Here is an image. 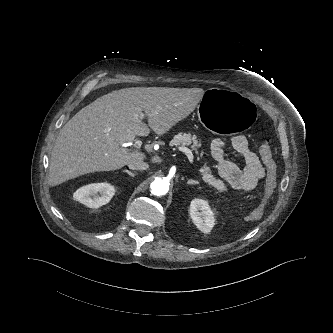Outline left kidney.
<instances>
[{"mask_svg": "<svg viewBox=\"0 0 333 333\" xmlns=\"http://www.w3.org/2000/svg\"><path fill=\"white\" fill-rule=\"evenodd\" d=\"M190 217L196 227L203 233L211 232L215 218L208 202L203 199H193L190 204Z\"/></svg>", "mask_w": 333, "mask_h": 333, "instance_id": "1", "label": "left kidney"}]
</instances>
